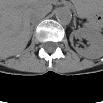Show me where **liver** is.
Masks as SVG:
<instances>
[{"instance_id":"1","label":"liver","mask_w":103,"mask_h":103,"mask_svg":"<svg viewBox=\"0 0 103 103\" xmlns=\"http://www.w3.org/2000/svg\"><path fill=\"white\" fill-rule=\"evenodd\" d=\"M50 3L38 0L1 2V55L9 57L23 51L30 40V14L50 10Z\"/></svg>"}]
</instances>
